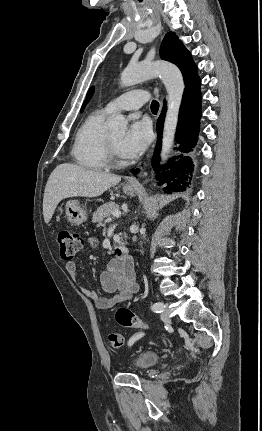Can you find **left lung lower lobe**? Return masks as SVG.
I'll use <instances>...</instances> for the list:
<instances>
[{
	"label": "left lung lower lobe",
	"instance_id": "1",
	"mask_svg": "<svg viewBox=\"0 0 262 431\" xmlns=\"http://www.w3.org/2000/svg\"><path fill=\"white\" fill-rule=\"evenodd\" d=\"M201 92L200 79L185 86L182 104L179 112V120L176 132L177 148L183 153H189L195 147L199 134V121L201 118ZM166 107L157 121L158 141L156 151L153 155L152 166L157 173L156 178L161 183H166L164 189L167 193L186 190L191 180L194 165L190 157L183 154L172 158L169 163L159 168V153L161 149V133L165 117ZM163 172L160 174V171ZM167 170V171H164ZM137 170L134 171L136 173Z\"/></svg>",
	"mask_w": 262,
	"mask_h": 431
}]
</instances>
